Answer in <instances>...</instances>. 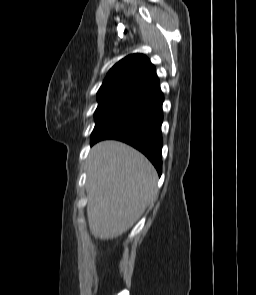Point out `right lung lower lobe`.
I'll return each instance as SVG.
<instances>
[{
  "instance_id": "right-lung-lower-lobe-1",
  "label": "right lung lower lobe",
  "mask_w": 256,
  "mask_h": 295,
  "mask_svg": "<svg viewBox=\"0 0 256 295\" xmlns=\"http://www.w3.org/2000/svg\"><path fill=\"white\" fill-rule=\"evenodd\" d=\"M163 100L158 81L131 100L97 134L91 136V145L103 139L121 140L146 155L161 175Z\"/></svg>"
}]
</instances>
